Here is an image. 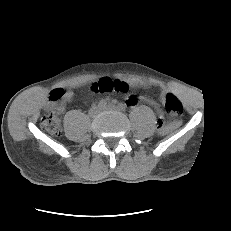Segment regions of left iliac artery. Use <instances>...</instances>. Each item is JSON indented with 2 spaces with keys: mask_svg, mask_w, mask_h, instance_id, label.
I'll return each mask as SVG.
<instances>
[{
  "mask_svg": "<svg viewBox=\"0 0 231 231\" xmlns=\"http://www.w3.org/2000/svg\"><path fill=\"white\" fill-rule=\"evenodd\" d=\"M118 109L124 111L126 109V104L119 103L118 104Z\"/></svg>",
  "mask_w": 231,
  "mask_h": 231,
  "instance_id": "44dca946",
  "label": "left iliac artery"
}]
</instances>
